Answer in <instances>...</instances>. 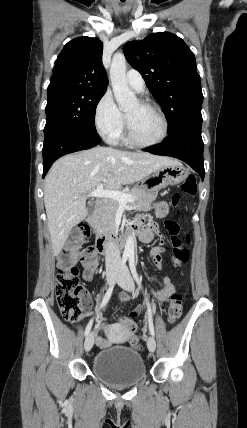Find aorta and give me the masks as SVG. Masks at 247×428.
Segmentation results:
<instances>
[{
	"instance_id": "1",
	"label": "aorta",
	"mask_w": 247,
	"mask_h": 428,
	"mask_svg": "<svg viewBox=\"0 0 247 428\" xmlns=\"http://www.w3.org/2000/svg\"><path fill=\"white\" fill-rule=\"evenodd\" d=\"M110 80L114 96L121 108H127L136 102L135 94L129 89L126 81V59L121 53L114 54L110 66ZM135 251L134 235L129 234L126 239L123 255L133 257Z\"/></svg>"
}]
</instances>
